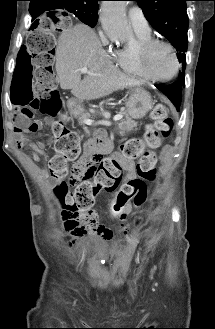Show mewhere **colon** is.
Masks as SVG:
<instances>
[{
  "mask_svg": "<svg viewBox=\"0 0 215 329\" xmlns=\"http://www.w3.org/2000/svg\"><path fill=\"white\" fill-rule=\"evenodd\" d=\"M71 14H40L29 26L24 50L14 56L16 80L8 86L10 103H15L19 116L26 121L34 112L55 118L60 110V96L57 79L53 71L55 38L67 32L71 26ZM154 124L147 127L144 138L131 139L121 146V154L127 159H138L137 172L141 178L152 181L156 175V157L152 151L167 138L173 129V120L167 108L157 104L152 110ZM23 132H37V125L19 126ZM57 140L56 154L49 161V172L57 181L55 193L58 196L63 215H85L91 211L95 197L102 191L111 192L118 188L122 179V167L116 158L90 157L80 169H72L71 180L67 182L68 163L77 158L80 151V137L69 130L64 120L54 124ZM146 201V199H144Z\"/></svg>",
  "mask_w": 215,
  "mask_h": 329,
  "instance_id": "colon-1",
  "label": "colon"
}]
</instances>
